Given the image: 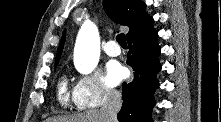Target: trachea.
I'll return each instance as SVG.
<instances>
[{"mask_svg": "<svg viewBox=\"0 0 221 122\" xmlns=\"http://www.w3.org/2000/svg\"><path fill=\"white\" fill-rule=\"evenodd\" d=\"M117 42L120 44L121 47H127L126 39L124 33H120L116 37Z\"/></svg>", "mask_w": 221, "mask_h": 122, "instance_id": "3493384b", "label": "trachea"}]
</instances>
